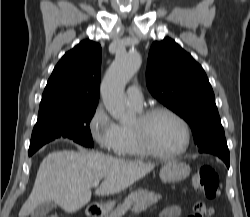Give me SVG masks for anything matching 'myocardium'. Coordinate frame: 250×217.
<instances>
[{"label": "myocardium", "mask_w": 250, "mask_h": 217, "mask_svg": "<svg viewBox=\"0 0 250 217\" xmlns=\"http://www.w3.org/2000/svg\"><path fill=\"white\" fill-rule=\"evenodd\" d=\"M159 113H165L173 117L182 127L183 134H184V143L181 148L169 152V153H163L155 149L152 144L149 142L145 127L148 123V121L156 114ZM133 134L135 136V139L137 141L138 146L140 149L148 156L159 158V159H170L177 156L182 155L189 147L190 140H191V133H190V127L186 120L178 114L173 109L157 105V106H151L147 108L146 110L140 112L138 116V126L132 127Z\"/></svg>", "instance_id": "1"}]
</instances>
